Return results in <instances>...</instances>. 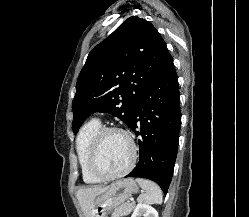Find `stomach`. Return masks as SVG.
<instances>
[{"label": "stomach", "instance_id": "obj_1", "mask_svg": "<svg viewBox=\"0 0 249 217\" xmlns=\"http://www.w3.org/2000/svg\"><path fill=\"white\" fill-rule=\"evenodd\" d=\"M138 185L132 178H124L113 182L108 190L98 196L94 202L95 217H105L115 208L124 204L132 195L138 192Z\"/></svg>", "mask_w": 249, "mask_h": 217}]
</instances>
